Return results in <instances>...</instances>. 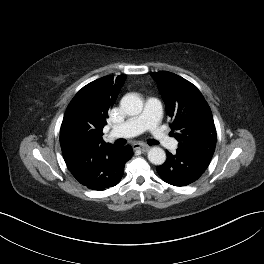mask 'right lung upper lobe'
<instances>
[{"label":"right lung upper lobe","instance_id":"cb5924a9","mask_svg":"<svg viewBox=\"0 0 264 264\" xmlns=\"http://www.w3.org/2000/svg\"><path fill=\"white\" fill-rule=\"evenodd\" d=\"M126 76H105L84 86L70 102L60 130L62 152L104 143L102 130Z\"/></svg>","mask_w":264,"mask_h":264}]
</instances>
